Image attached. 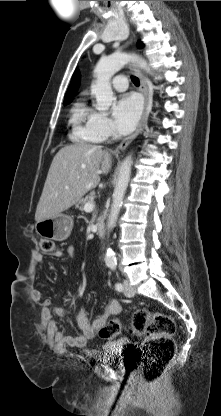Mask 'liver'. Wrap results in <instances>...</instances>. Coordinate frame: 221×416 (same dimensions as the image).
<instances>
[{
	"mask_svg": "<svg viewBox=\"0 0 221 416\" xmlns=\"http://www.w3.org/2000/svg\"><path fill=\"white\" fill-rule=\"evenodd\" d=\"M112 167V156L101 146L76 143L61 148L50 165L35 220L53 218L95 188L99 175Z\"/></svg>",
	"mask_w": 221,
	"mask_h": 416,
	"instance_id": "6515ba94",
	"label": "liver"
}]
</instances>
